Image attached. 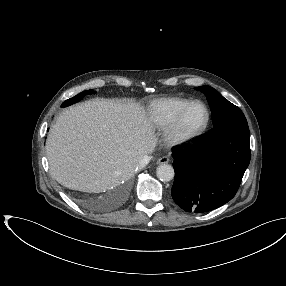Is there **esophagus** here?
<instances>
[{
	"label": "esophagus",
	"mask_w": 286,
	"mask_h": 286,
	"mask_svg": "<svg viewBox=\"0 0 286 286\" xmlns=\"http://www.w3.org/2000/svg\"><path fill=\"white\" fill-rule=\"evenodd\" d=\"M169 161L170 159L168 157H161L157 160V164H167Z\"/></svg>",
	"instance_id": "1"
}]
</instances>
